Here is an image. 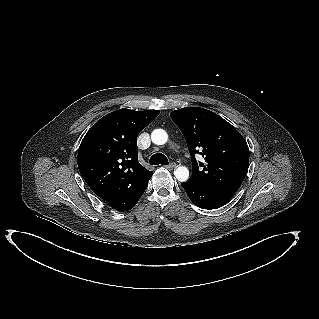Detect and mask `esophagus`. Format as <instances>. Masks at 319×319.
Returning <instances> with one entry per match:
<instances>
[{
	"instance_id": "1",
	"label": "esophagus",
	"mask_w": 319,
	"mask_h": 319,
	"mask_svg": "<svg viewBox=\"0 0 319 319\" xmlns=\"http://www.w3.org/2000/svg\"><path fill=\"white\" fill-rule=\"evenodd\" d=\"M168 169H173L176 167V163L172 162L166 166Z\"/></svg>"
}]
</instances>
